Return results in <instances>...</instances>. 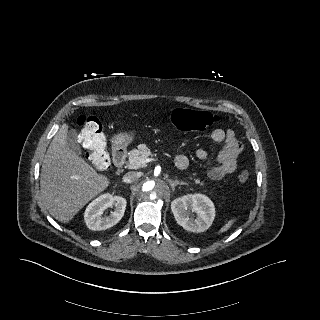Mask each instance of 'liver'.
I'll return each instance as SVG.
<instances>
[{"label":"liver","instance_id":"6515ba94","mask_svg":"<svg viewBox=\"0 0 320 320\" xmlns=\"http://www.w3.org/2000/svg\"><path fill=\"white\" fill-rule=\"evenodd\" d=\"M63 124L52 139L43 160L40 191L50 215L68 223L96 195L105 190L109 180L71 151Z\"/></svg>","mask_w":320,"mask_h":320}]
</instances>
